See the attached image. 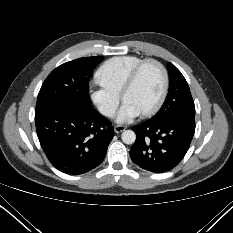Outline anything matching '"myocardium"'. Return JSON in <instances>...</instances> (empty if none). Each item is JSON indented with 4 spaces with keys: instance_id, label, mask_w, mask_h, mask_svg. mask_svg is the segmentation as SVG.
I'll return each instance as SVG.
<instances>
[{
    "instance_id": "f54148a6",
    "label": "myocardium",
    "mask_w": 233,
    "mask_h": 233,
    "mask_svg": "<svg viewBox=\"0 0 233 233\" xmlns=\"http://www.w3.org/2000/svg\"><path fill=\"white\" fill-rule=\"evenodd\" d=\"M150 63L155 64L160 69L162 73V77H163V86H162L161 94L156 104L152 108L140 113L144 117H148V116H152L156 114L161 109V107L163 106L166 100L168 90H169V74H168L166 67L160 61L156 59H152V58L144 59L139 64H137L134 67V69L131 71L121 91V98L124 101L126 93L134 87L142 69L147 64H150Z\"/></svg>"
}]
</instances>
